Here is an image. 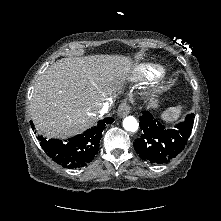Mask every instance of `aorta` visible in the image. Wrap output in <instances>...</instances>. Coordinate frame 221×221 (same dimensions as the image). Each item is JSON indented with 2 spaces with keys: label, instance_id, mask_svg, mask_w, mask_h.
<instances>
[{
  "label": "aorta",
  "instance_id": "1",
  "mask_svg": "<svg viewBox=\"0 0 221 221\" xmlns=\"http://www.w3.org/2000/svg\"><path fill=\"white\" fill-rule=\"evenodd\" d=\"M138 122L135 117L127 116L123 120V127L126 131L136 132L138 130Z\"/></svg>",
  "mask_w": 221,
  "mask_h": 221
}]
</instances>
